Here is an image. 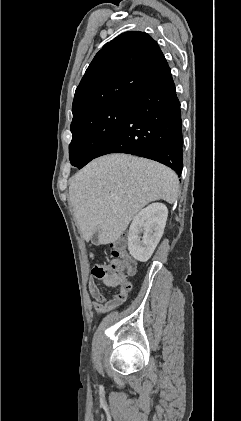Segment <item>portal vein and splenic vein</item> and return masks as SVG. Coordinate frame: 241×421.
<instances>
[{
  "mask_svg": "<svg viewBox=\"0 0 241 421\" xmlns=\"http://www.w3.org/2000/svg\"><path fill=\"white\" fill-rule=\"evenodd\" d=\"M112 197L117 198L114 194L112 195Z\"/></svg>",
  "mask_w": 241,
  "mask_h": 421,
  "instance_id": "portal-vein-and-splenic-vein-1",
  "label": "portal vein and splenic vein"
}]
</instances>
